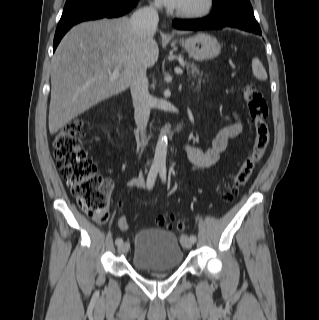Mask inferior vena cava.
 Listing matches in <instances>:
<instances>
[{
    "label": "inferior vena cava",
    "instance_id": "602c4592",
    "mask_svg": "<svg viewBox=\"0 0 319 320\" xmlns=\"http://www.w3.org/2000/svg\"><path fill=\"white\" fill-rule=\"evenodd\" d=\"M158 3L151 4L148 7L138 9L131 16V23L135 34L142 39H150L155 33L159 21L157 8ZM147 68L140 66L132 79L130 90L135 109V122L137 128L143 134L145 130L149 115H150V99L151 96L148 91V79L146 77ZM146 141L142 139L140 145L142 149L146 146Z\"/></svg>",
    "mask_w": 319,
    "mask_h": 320
}]
</instances>
